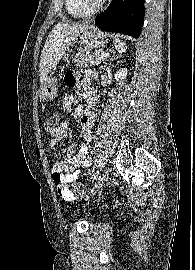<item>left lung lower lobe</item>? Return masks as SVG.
I'll return each instance as SVG.
<instances>
[{"label": "left lung lower lobe", "mask_w": 195, "mask_h": 270, "mask_svg": "<svg viewBox=\"0 0 195 270\" xmlns=\"http://www.w3.org/2000/svg\"><path fill=\"white\" fill-rule=\"evenodd\" d=\"M145 0H112L109 7L95 19V25L107 32L140 36L144 21Z\"/></svg>", "instance_id": "1"}]
</instances>
